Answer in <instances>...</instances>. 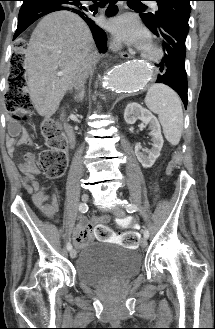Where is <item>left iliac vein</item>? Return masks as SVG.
Returning a JSON list of instances; mask_svg holds the SVG:
<instances>
[{
	"mask_svg": "<svg viewBox=\"0 0 215 329\" xmlns=\"http://www.w3.org/2000/svg\"><path fill=\"white\" fill-rule=\"evenodd\" d=\"M112 213L116 216V217H119V218H122L125 216L126 212L123 208L121 207H115L113 210H112ZM140 245L141 247H146L147 245V239L145 237H142L141 240H140Z\"/></svg>",
	"mask_w": 215,
	"mask_h": 329,
	"instance_id": "4c4485c4",
	"label": "left iliac vein"
}]
</instances>
